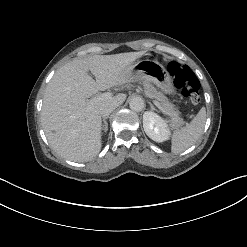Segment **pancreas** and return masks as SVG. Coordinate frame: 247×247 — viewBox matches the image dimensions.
Listing matches in <instances>:
<instances>
[{"label":"pancreas","mask_w":247,"mask_h":247,"mask_svg":"<svg viewBox=\"0 0 247 247\" xmlns=\"http://www.w3.org/2000/svg\"><path fill=\"white\" fill-rule=\"evenodd\" d=\"M144 89L148 97L156 100L160 104L162 108L161 111L172 118L174 126H180L183 124V120L179 117V112L163 93L157 91L154 86L147 82H144Z\"/></svg>","instance_id":"obj_1"}]
</instances>
